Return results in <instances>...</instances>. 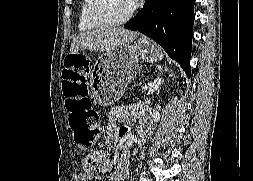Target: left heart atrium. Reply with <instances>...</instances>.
<instances>
[{"label":"left heart atrium","mask_w":253,"mask_h":181,"mask_svg":"<svg viewBox=\"0 0 253 181\" xmlns=\"http://www.w3.org/2000/svg\"><path fill=\"white\" fill-rule=\"evenodd\" d=\"M129 1V4L132 8H136L139 6L141 0H128Z\"/></svg>","instance_id":"39dd6f15"}]
</instances>
